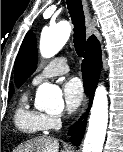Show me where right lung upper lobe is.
Wrapping results in <instances>:
<instances>
[{
    "label": "right lung upper lobe",
    "mask_w": 123,
    "mask_h": 152,
    "mask_svg": "<svg viewBox=\"0 0 123 152\" xmlns=\"http://www.w3.org/2000/svg\"><path fill=\"white\" fill-rule=\"evenodd\" d=\"M92 36H94V35H92ZM13 92H14V89H13V86L11 85L10 90H9V94H12Z\"/></svg>",
    "instance_id": "cb5924a9"
}]
</instances>
